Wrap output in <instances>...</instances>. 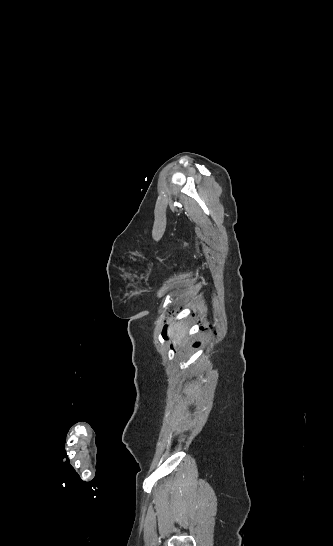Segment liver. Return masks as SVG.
<instances>
[{"instance_id":"6515ba94","label":"liver","mask_w":333,"mask_h":546,"mask_svg":"<svg viewBox=\"0 0 333 546\" xmlns=\"http://www.w3.org/2000/svg\"><path fill=\"white\" fill-rule=\"evenodd\" d=\"M172 319H170L171 321ZM187 333V327H184L182 324H174L170 326L169 336L172 339V342L175 344H180L184 341Z\"/></svg>"}]
</instances>
